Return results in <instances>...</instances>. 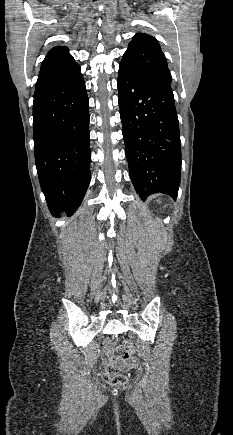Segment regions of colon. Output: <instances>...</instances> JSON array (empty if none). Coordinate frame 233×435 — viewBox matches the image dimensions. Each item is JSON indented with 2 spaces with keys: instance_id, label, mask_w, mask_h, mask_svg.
<instances>
[{
  "instance_id": "obj_1",
  "label": "colon",
  "mask_w": 233,
  "mask_h": 435,
  "mask_svg": "<svg viewBox=\"0 0 233 435\" xmlns=\"http://www.w3.org/2000/svg\"><path fill=\"white\" fill-rule=\"evenodd\" d=\"M134 346L130 341L114 345L110 352V363L104 368L103 379L106 383L117 385L128 383L130 376L118 371L115 362L127 360L133 355Z\"/></svg>"
}]
</instances>
